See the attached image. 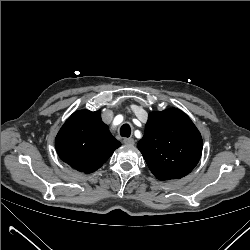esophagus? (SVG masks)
<instances>
[{"instance_id":"obj_1","label":"esophagus","mask_w":250,"mask_h":250,"mask_svg":"<svg viewBox=\"0 0 250 250\" xmlns=\"http://www.w3.org/2000/svg\"><path fill=\"white\" fill-rule=\"evenodd\" d=\"M123 142H124L125 145H129V146H132L135 143L133 138H125L123 140Z\"/></svg>"}]
</instances>
